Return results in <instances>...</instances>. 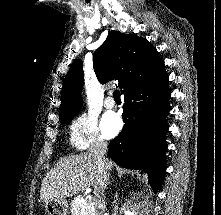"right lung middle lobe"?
Returning <instances> with one entry per match:
<instances>
[{"instance_id":"1","label":"right lung middle lobe","mask_w":221,"mask_h":215,"mask_svg":"<svg viewBox=\"0 0 221 215\" xmlns=\"http://www.w3.org/2000/svg\"><path fill=\"white\" fill-rule=\"evenodd\" d=\"M75 115H76V114H75ZM75 115L70 116V117H67V118H65V119H61V121L64 122V123H66V124H69Z\"/></svg>"}]
</instances>
